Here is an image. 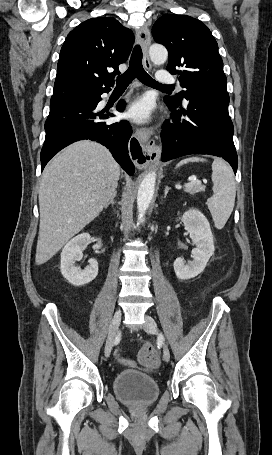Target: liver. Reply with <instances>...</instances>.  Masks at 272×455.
Here are the masks:
<instances>
[{
	"mask_svg": "<svg viewBox=\"0 0 272 455\" xmlns=\"http://www.w3.org/2000/svg\"><path fill=\"white\" fill-rule=\"evenodd\" d=\"M119 177L120 166L110 152L89 140L68 146L49 162L39 187L37 265L50 260L100 214Z\"/></svg>",
	"mask_w": 272,
	"mask_h": 455,
	"instance_id": "liver-1",
	"label": "liver"
}]
</instances>
